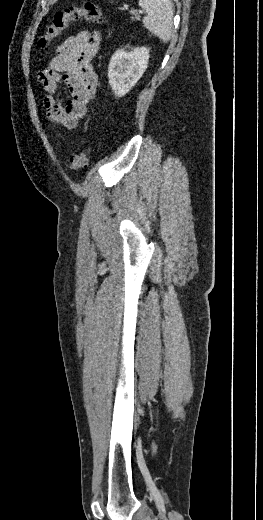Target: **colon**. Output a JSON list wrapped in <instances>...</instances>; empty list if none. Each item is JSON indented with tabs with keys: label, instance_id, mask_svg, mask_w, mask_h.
Listing matches in <instances>:
<instances>
[{
	"label": "colon",
	"instance_id": "1",
	"mask_svg": "<svg viewBox=\"0 0 263 520\" xmlns=\"http://www.w3.org/2000/svg\"><path fill=\"white\" fill-rule=\"evenodd\" d=\"M85 19L92 23L102 24L106 22V17L102 9L93 2H86L82 6H72L54 14L51 22L46 27L44 33L38 40L40 49L48 47L57 37H59L72 23ZM89 149L84 148L73 155L66 163L70 171L84 169L88 165Z\"/></svg>",
	"mask_w": 263,
	"mask_h": 520
}]
</instances>
